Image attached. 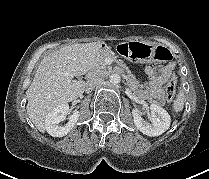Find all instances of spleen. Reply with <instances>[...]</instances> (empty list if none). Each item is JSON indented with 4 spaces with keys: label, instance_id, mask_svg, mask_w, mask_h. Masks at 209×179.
<instances>
[{
    "label": "spleen",
    "instance_id": "obj_1",
    "mask_svg": "<svg viewBox=\"0 0 209 179\" xmlns=\"http://www.w3.org/2000/svg\"><path fill=\"white\" fill-rule=\"evenodd\" d=\"M184 99L185 95L183 90L180 88L177 97L175 98L172 105L173 114H178V112L182 111L184 108Z\"/></svg>",
    "mask_w": 209,
    "mask_h": 179
}]
</instances>
